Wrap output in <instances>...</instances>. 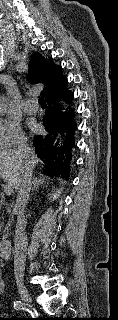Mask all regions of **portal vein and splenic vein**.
Wrapping results in <instances>:
<instances>
[{
    "instance_id": "portal-vein-and-splenic-vein-1",
    "label": "portal vein and splenic vein",
    "mask_w": 118,
    "mask_h": 320,
    "mask_svg": "<svg viewBox=\"0 0 118 320\" xmlns=\"http://www.w3.org/2000/svg\"><path fill=\"white\" fill-rule=\"evenodd\" d=\"M3 189H4V192L7 194V195H11L13 193V187L11 184L9 183H5L3 185Z\"/></svg>"
}]
</instances>
